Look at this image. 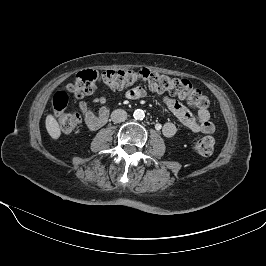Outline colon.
Masks as SVG:
<instances>
[{
	"instance_id": "1",
	"label": "colon",
	"mask_w": 266,
	"mask_h": 266,
	"mask_svg": "<svg viewBox=\"0 0 266 266\" xmlns=\"http://www.w3.org/2000/svg\"><path fill=\"white\" fill-rule=\"evenodd\" d=\"M137 82H142L151 90L158 93H168L186 100L198 110L208 108L209 102L200 90L194 88L186 79L172 78L146 68L134 70H106L98 73L93 70L79 72L73 83L68 85V90L77 98H82L93 93L100 83L115 90L131 87ZM68 104V95L64 91H58L52 99L53 113L63 132L69 133L75 130L81 117L76 112H65ZM215 141L211 136H205L192 145V149L199 155L209 156L214 151Z\"/></svg>"
}]
</instances>
